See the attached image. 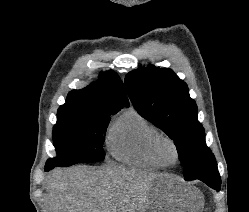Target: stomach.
<instances>
[{"label": "stomach", "instance_id": "0dacf381", "mask_svg": "<svg viewBox=\"0 0 249 212\" xmlns=\"http://www.w3.org/2000/svg\"><path fill=\"white\" fill-rule=\"evenodd\" d=\"M149 212H202L204 196L179 175H156L150 188Z\"/></svg>", "mask_w": 249, "mask_h": 212}]
</instances>
